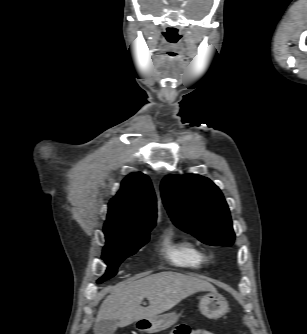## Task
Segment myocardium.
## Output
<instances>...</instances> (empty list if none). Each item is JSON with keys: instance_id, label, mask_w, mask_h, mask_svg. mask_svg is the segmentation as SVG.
I'll list each match as a JSON object with an SVG mask.
<instances>
[{"instance_id": "myocardium-1", "label": "myocardium", "mask_w": 307, "mask_h": 334, "mask_svg": "<svg viewBox=\"0 0 307 334\" xmlns=\"http://www.w3.org/2000/svg\"><path fill=\"white\" fill-rule=\"evenodd\" d=\"M202 260L204 262H208L209 261V256L207 254H202Z\"/></svg>"}]
</instances>
